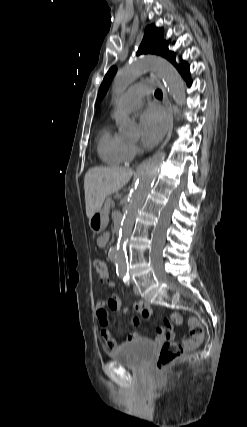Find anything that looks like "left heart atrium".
<instances>
[{
    "instance_id": "39dd6f15",
    "label": "left heart atrium",
    "mask_w": 247,
    "mask_h": 427,
    "mask_svg": "<svg viewBox=\"0 0 247 427\" xmlns=\"http://www.w3.org/2000/svg\"><path fill=\"white\" fill-rule=\"evenodd\" d=\"M168 127V117L163 109L150 106L140 117L141 141L146 146L157 144Z\"/></svg>"
}]
</instances>
